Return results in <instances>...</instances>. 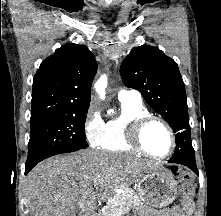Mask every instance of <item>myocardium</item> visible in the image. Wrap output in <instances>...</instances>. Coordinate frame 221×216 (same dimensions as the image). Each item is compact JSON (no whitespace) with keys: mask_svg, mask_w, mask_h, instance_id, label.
Listing matches in <instances>:
<instances>
[{"mask_svg":"<svg viewBox=\"0 0 221 216\" xmlns=\"http://www.w3.org/2000/svg\"><path fill=\"white\" fill-rule=\"evenodd\" d=\"M155 122L162 124L166 128L171 139L170 150L164 155L153 154L150 151H148L144 145L143 141L144 132L150 124ZM127 136H128V142L133 147L134 150L153 159H166L170 157L176 149V135L173 128L165 119L159 116L149 114L147 116L137 119L129 127Z\"/></svg>","mask_w":221,"mask_h":216,"instance_id":"obj_1","label":"myocardium"}]
</instances>
